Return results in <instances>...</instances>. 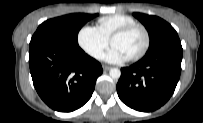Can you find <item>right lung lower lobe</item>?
Returning a JSON list of instances; mask_svg holds the SVG:
<instances>
[{
	"label": "right lung lower lobe",
	"instance_id": "98d812e1",
	"mask_svg": "<svg viewBox=\"0 0 203 123\" xmlns=\"http://www.w3.org/2000/svg\"><path fill=\"white\" fill-rule=\"evenodd\" d=\"M29 66L34 87L52 109L71 112L92 96L101 64L80 47L30 42Z\"/></svg>",
	"mask_w": 203,
	"mask_h": 123
}]
</instances>
